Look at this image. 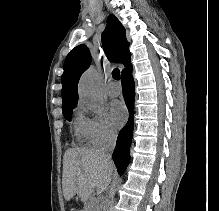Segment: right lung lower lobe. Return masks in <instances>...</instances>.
Returning <instances> with one entry per match:
<instances>
[{
    "label": "right lung lower lobe",
    "instance_id": "1",
    "mask_svg": "<svg viewBox=\"0 0 219 211\" xmlns=\"http://www.w3.org/2000/svg\"><path fill=\"white\" fill-rule=\"evenodd\" d=\"M121 78L123 96L129 110L130 117L128 123L123 127L118 135L116 147L113 152V160L120 175L124 173L130 161L129 148L134 128L133 105L135 91L134 80L132 77V64L126 66L125 69L122 70Z\"/></svg>",
    "mask_w": 219,
    "mask_h": 211
}]
</instances>
